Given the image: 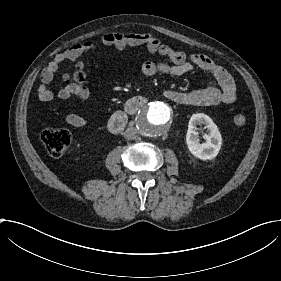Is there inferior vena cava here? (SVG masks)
<instances>
[{
	"mask_svg": "<svg viewBox=\"0 0 281 281\" xmlns=\"http://www.w3.org/2000/svg\"><path fill=\"white\" fill-rule=\"evenodd\" d=\"M136 135H137V129L136 128H128L124 132L125 138L129 139V140H132V139L136 138Z\"/></svg>",
	"mask_w": 281,
	"mask_h": 281,
	"instance_id": "1",
	"label": "inferior vena cava"
}]
</instances>
